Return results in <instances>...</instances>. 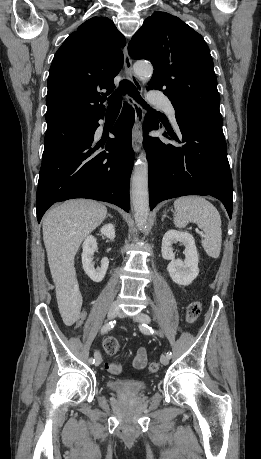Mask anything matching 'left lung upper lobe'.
Here are the masks:
<instances>
[{"label":"left lung upper lobe","mask_w":261,"mask_h":459,"mask_svg":"<svg viewBox=\"0 0 261 459\" xmlns=\"http://www.w3.org/2000/svg\"><path fill=\"white\" fill-rule=\"evenodd\" d=\"M154 67L148 89L163 90L176 118L222 120L213 60L203 37L176 16L154 12L128 45Z\"/></svg>","instance_id":"5c2ea615"}]
</instances>
